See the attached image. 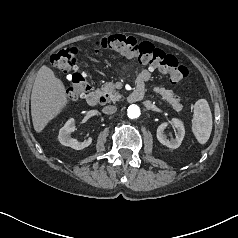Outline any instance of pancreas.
<instances>
[{"label": "pancreas", "instance_id": "pancreas-1", "mask_svg": "<svg viewBox=\"0 0 238 238\" xmlns=\"http://www.w3.org/2000/svg\"><path fill=\"white\" fill-rule=\"evenodd\" d=\"M153 91L161 95L162 99L166 100L175 111L179 112L182 110L183 106L179 103V99L175 98L172 90H166L165 88L154 86ZM100 93L103 95H108L109 99L113 102L122 98V95L115 89L113 82L105 83L101 87Z\"/></svg>", "mask_w": 238, "mask_h": 238}]
</instances>
